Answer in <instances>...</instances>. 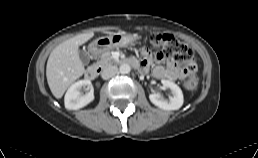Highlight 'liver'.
Masks as SVG:
<instances>
[{
    "label": "liver",
    "instance_id": "1",
    "mask_svg": "<svg viewBox=\"0 0 258 158\" xmlns=\"http://www.w3.org/2000/svg\"><path fill=\"white\" fill-rule=\"evenodd\" d=\"M109 34H113L109 32ZM94 36L93 32L74 36L56 46L49 55L46 77L55 98L63 96L67 88L85 71L79 58V46Z\"/></svg>",
    "mask_w": 258,
    "mask_h": 158
}]
</instances>
